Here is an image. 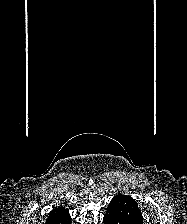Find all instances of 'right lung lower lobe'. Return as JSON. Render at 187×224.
<instances>
[{
    "mask_svg": "<svg viewBox=\"0 0 187 224\" xmlns=\"http://www.w3.org/2000/svg\"><path fill=\"white\" fill-rule=\"evenodd\" d=\"M46 224H71V217L69 212L53 217L46 221Z\"/></svg>",
    "mask_w": 187,
    "mask_h": 224,
    "instance_id": "right-lung-lower-lobe-1",
    "label": "right lung lower lobe"
}]
</instances>
